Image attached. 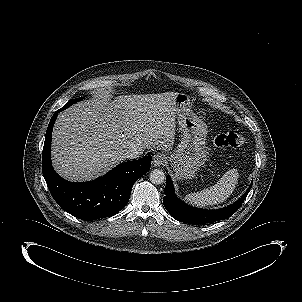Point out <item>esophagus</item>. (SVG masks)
<instances>
[{
	"label": "esophagus",
	"instance_id": "1",
	"mask_svg": "<svg viewBox=\"0 0 302 302\" xmlns=\"http://www.w3.org/2000/svg\"><path fill=\"white\" fill-rule=\"evenodd\" d=\"M166 162V157L162 154H155L152 159V163L154 166L159 167L164 165Z\"/></svg>",
	"mask_w": 302,
	"mask_h": 302
}]
</instances>
